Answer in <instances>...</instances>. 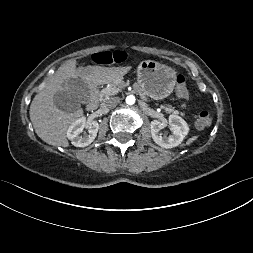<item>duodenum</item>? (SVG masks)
<instances>
[{
  "label": "duodenum",
  "instance_id": "1",
  "mask_svg": "<svg viewBox=\"0 0 253 253\" xmlns=\"http://www.w3.org/2000/svg\"><path fill=\"white\" fill-rule=\"evenodd\" d=\"M99 106V92L96 86L90 88V98L87 102L86 109L89 112L97 110Z\"/></svg>",
  "mask_w": 253,
  "mask_h": 253
}]
</instances>
